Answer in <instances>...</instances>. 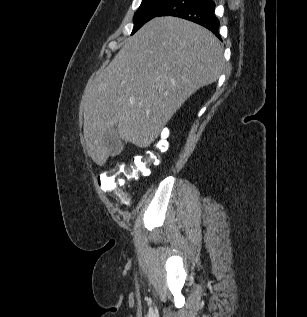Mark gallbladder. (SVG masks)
<instances>
[{"label": "gallbladder", "instance_id": "obj_1", "mask_svg": "<svg viewBox=\"0 0 307 317\" xmlns=\"http://www.w3.org/2000/svg\"><path fill=\"white\" fill-rule=\"evenodd\" d=\"M117 125H115L106 135L109 146V155L115 157L120 154L123 149L122 141L117 133Z\"/></svg>", "mask_w": 307, "mask_h": 317}]
</instances>
